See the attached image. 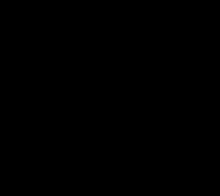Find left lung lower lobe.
I'll list each match as a JSON object with an SVG mask.
<instances>
[{"mask_svg":"<svg viewBox=\"0 0 220 196\" xmlns=\"http://www.w3.org/2000/svg\"><path fill=\"white\" fill-rule=\"evenodd\" d=\"M148 141L152 144H158V142H156L152 137H149Z\"/></svg>","mask_w":220,"mask_h":196,"instance_id":"1","label":"left lung lower lobe"}]
</instances>
